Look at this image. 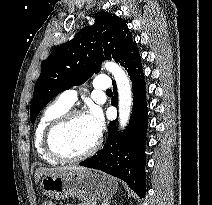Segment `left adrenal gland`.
Returning a JSON list of instances; mask_svg holds the SVG:
<instances>
[{"label":"left adrenal gland","mask_w":212,"mask_h":205,"mask_svg":"<svg viewBox=\"0 0 212 205\" xmlns=\"http://www.w3.org/2000/svg\"><path fill=\"white\" fill-rule=\"evenodd\" d=\"M101 205H109V203L108 202H104Z\"/></svg>","instance_id":"obj_1"}]
</instances>
